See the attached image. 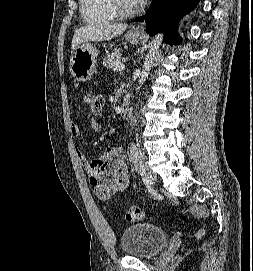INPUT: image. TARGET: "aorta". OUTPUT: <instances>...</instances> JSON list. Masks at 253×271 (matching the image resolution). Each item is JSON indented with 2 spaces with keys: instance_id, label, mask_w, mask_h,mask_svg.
Here are the masks:
<instances>
[{
  "instance_id": "1",
  "label": "aorta",
  "mask_w": 253,
  "mask_h": 271,
  "mask_svg": "<svg viewBox=\"0 0 253 271\" xmlns=\"http://www.w3.org/2000/svg\"><path fill=\"white\" fill-rule=\"evenodd\" d=\"M162 38H163V34L158 33V34H156L154 36L152 42L150 43V49H149V52H148V54H147V56L145 58L144 65H143V70H142V72L140 74V77H139V81H138L139 86L137 87V91L143 85V83L146 80V77L149 74V71H150V69H151V67L153 65L155 56L158 53L159 47L161 45Z\"/></svg>"
}]
</instances>
